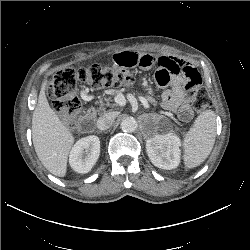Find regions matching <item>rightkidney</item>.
<instances>
[{
	"label": "right kidney",
	"instance_id": "ca27d5eb",
	"mask_svg": "<svg viewBox=\"0 0 250 250\" xmlns=\"http://www.w3.org/2000/svg\"><path fill=\"white\" fill-rule=\"evenodd\" d=\"M100 154V140L97 136L79 139L69 155L71 168L78 173H88L95 165Z\"/></svg>",
	"mask_w": 250,
	"mask_h": 250
}]
</instances>
